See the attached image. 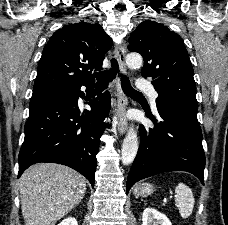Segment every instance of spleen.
<instances>
[{"label":"spleen","instance_id":"3e777b00","mask_svg":"<svg viewBox=\"0 0 228 225\" xmlns=\"http://www.w3.org/2000/svg\"><path fill=\"white\" fill-rule=\"evenodd\" d=\"M175 193V203L178 207V211L182 219H188L194 209L195 203L192 189H189V187H187V185H183V183H179L175 189Z\"/></svg>","mask_w":228,"mask_h":225}]
</instances>
